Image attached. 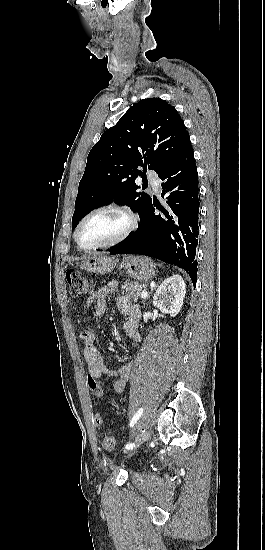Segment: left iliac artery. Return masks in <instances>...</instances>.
Segmentation results:
<instances>
[{"instance_id":"44dca946","label":"left iliac artery","mask_w":265,"mask_h":550,"mask_svg":"<svg viewBox=\"0 0 265 550\" xmlns=\"http://www.w3.org/2000/svg\"><path fill=\"white\" fill-rule=\"evenodd\" d=\"M143 413V407H141L136 413L135 415L133 416L131 422H130V427H133L134 424L137 422V420L141 417ZM135 447V444L134 443H129L127 445H125V449L127 450H130V449H133Z\"/></svg>"}]
</instances>
